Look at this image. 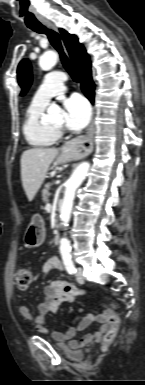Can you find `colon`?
I'll use <instances>...</instances> for the list:
<instances>
[{"instance_id":"obj_1","label":"colon","mask_w":145,"mask_h":385,"mask_svg":"<svg viewBox=\"0 0 145 385\" xmlns=\"http://www.w3.org/2000/svg\"><path fill=\"white\" fill-rule=\"evenodd\" d=\"M16 285L19 289L25 290L31 283L32 273L26 266H18L14 272ZM58 289L63 293H76L77 288H70L67 285L59 284ZM107 313V322L109 330L103 338V345L108 346L116 337L120 327V315L115 306H103Z\"/></svg>"}]
</instances>
